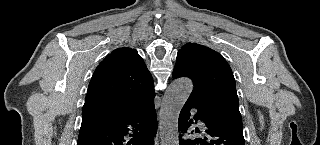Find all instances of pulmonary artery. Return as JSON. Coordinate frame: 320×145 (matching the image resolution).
Returning a JSON list of instances; mask_svg holds the SVG:
<instances>
[{
	"label": "pulmonary artery",
	"instance_id": "1",
	"mask_svg": "<svg viewBox=\"0 0 320 145\" xmlns=\"http://www.w3.org/2000/svg\"><path fill=\"white\" fill-rule=\"evenodd\" d=\"M199 125H200L202 128H204V126H205V124H204L203 121H199Z\"/></svg>",
	"mask_w": 320,
	"mask_h": 145
}]
</instances>
